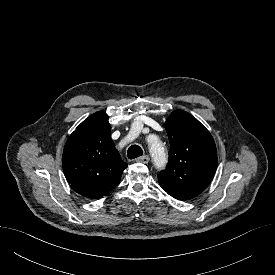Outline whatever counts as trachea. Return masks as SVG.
Listing matches in <instances>:
<instances>
[{
	"label": "trachea",
	"instance_id": "obj_1",
	"mask_svg": "<svg viewBox=\"0 0 275 275\" xmlns=\"http://www.w3.org/2000/svg\"><path fill=\"white\" fill-rule=\"evenodd\" d=\"M127 155L129 159H135L143 155V150L138 145H132L129 147Z\"/></svg>",
	"mask_w": 275,
	"mask_h": 275
}]
</instances>
